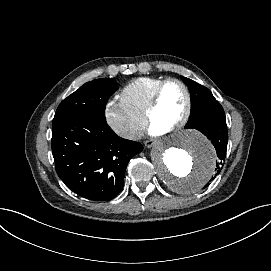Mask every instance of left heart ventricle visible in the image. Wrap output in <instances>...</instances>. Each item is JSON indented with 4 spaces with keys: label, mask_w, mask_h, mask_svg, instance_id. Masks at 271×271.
<instances>
[{
    "label": "left heart ventricle",
    "mask_w": 271,
    "mask_h": 271,
    "mask_svg": "<svg viewBox=\"0 0 271 271\" xmlns=\"http://www.w3.org/2000/svg\"><path fill=\"white\" fill-rule=\"evenodd\" d=\"M187 109V96L184 89L177 83L167 84L160 97L158 109L154 112L151 124L166 132L182 118Z\"/></svg>",
    "instance_id": "left-heart-ventricle-1"
}]
</instances>
